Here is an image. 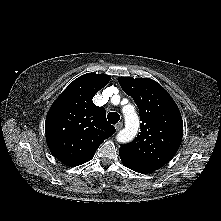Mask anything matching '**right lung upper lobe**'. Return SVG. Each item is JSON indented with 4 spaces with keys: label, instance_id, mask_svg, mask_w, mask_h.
Masks as SVG:
<instances>
[{
    "label": "right lung upper lobe",
    "instance_id": "right-lung-upper-lobe-1",
    "mask_svg": "<svg viewBox=\"0 0 221 221\" xmlns=\"http://www.w3.org/2000/svg\"><path fill=\"white\" fill-rule=\"evenodd\" d=\"M110 76L87 73L74 80L50 107L46 141L52 154L67 166L90 161L100 144L115 133L103 107L92 102Z\"/></svg>",
    "mask_w": 221,
    "mask_h": 221
}]
</instances>
